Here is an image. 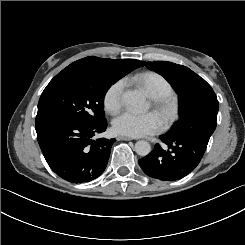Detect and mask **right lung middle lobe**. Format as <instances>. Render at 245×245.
<instances>
[{"label": "right lung middle lobe", "instance_id": "1", "mask_svg": "<svg viewBox=\"0 0 245 245\" xmlns=\"http://www.w3.org/2000/svg\"><path fill=\"white\" fill-rule=\"evenodd\" d=\"M129 72L108 64L80 60L73 62L44 89L35 123L50 120L104 121L107 90Z\"/></svg>", "mask_w": 245, "mask_h": 245}]
</instances>
